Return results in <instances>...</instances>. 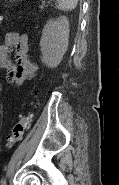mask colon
<instances>
[{"instance_id": "colon-1", "label": "colon", "mask_w": 119, "mask_h": 185, "mask_svg": "<svg viewBox=\"0 0 119 185\" xmlns=\"http://www.w3.org/2000/svg\"><path fill=\"white\" fill-rule=\"evenodd\" d=\"M35 105L34 101L29 102V107ZM32 120V114L29 110L24 112L19 120L14 124L11 133L7 137V148L14 147L24 136L26 130L29 128Z\"/></svg>"}]
</instances>
